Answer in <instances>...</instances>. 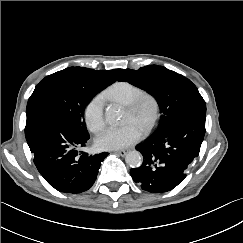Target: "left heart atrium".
I'll list each match as a JSON object with an SVG mask.
<instances>
[{"instance_id":"obj_1","label":"left heart atrium","mask_w":243,"mask_h":243,"mask_svg":"<svg viewBox=\"0 0 243 243\" xmlns=\"http://www.w3.org/2000/svg\"><path fill=\"white\" fill-rule=\"evenodd\" d=\"M143 130L135 123H127L121 127H109L96 139V145L102 150H118L137 143Z\"/></svg>"}]
</instances>
